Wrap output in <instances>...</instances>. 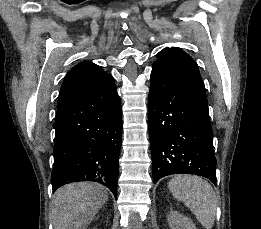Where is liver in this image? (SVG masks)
Instances as JSON below:
<instances>
[{
  "label": "liver",
  "mask_w": 261,
  "mask_h": 229,
  "mask_svg": "<svg viewBox=\"0 0 261 229\" xmlns=\"http://www.w3.org/2000/svg\"><path fill=\"white\" fill-rule=\"evenodd\" d=\"M106 201L107 189L99 183L64 185L52 199L54 229H87Z\"/></svg>",
  "instance_id": "obj_1"
}]
</instances>
